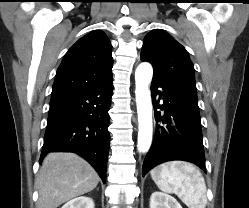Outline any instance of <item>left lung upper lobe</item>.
I'll return each instance as SVG.
<instances>
[{
    "label": "left lung upper lobe",
    "mask_w": 249,
    "mask_h": 208,
    "mask_svg": "<svg viewBox=\"0 0 249 208\" xmlns=\"http://www.w3.org/2000/svg\"><path fill=\"white\" fill-rule=\"evenodd\" d=\"M142 61L154 68V76L174 82L197 95L194 66L185 48L169 34L156 29L144 38Z\"/></svg>",
    "instance_id": "5c2ea615"
}]
</instances>
